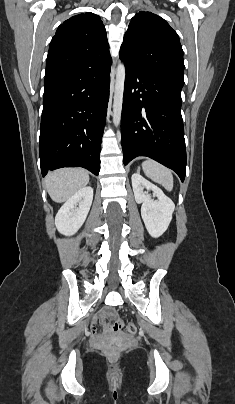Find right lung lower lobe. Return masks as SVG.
Masks as SVG:
<instances>
[{
	"mask_svg": "<svg viewBox=\"0 0 235 404\" xmlns=\"http://www.w3.org/2000/svg\"><path fill=\"white\" fill-rule=\"evenodd\" d=\"M110 65L45 77L39 143L43 176L62 167L99 174Z\"/></svg>",
	"mask_w": 235,
	"mask_h": 404,
	"instance_id": "obj_1",
	"label": "right lung lower lobe"
}]
</instances>
